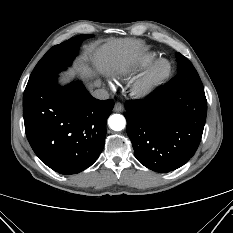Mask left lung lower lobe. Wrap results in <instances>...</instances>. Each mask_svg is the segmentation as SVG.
I'll use <instances>...</instances> for the list:
<instances>
[{
  "label": "left lung lower lobe",
  "mask_w": 233,
  "mask_h": 233,
  "mask_svg": "<svg viewBox=\"0 0 233 233\" xmlns=\"http://www.w3.org/2000/svg\"><path fill=\"white\" fill-rule=\"evenodd\" d=\"M205 93L157 88L143 100L125 103L127 134L137 160L160 173L184 165L201 141Z\"/></svg>",
  "instance_id": "0a47b994"
}]
</instances>
